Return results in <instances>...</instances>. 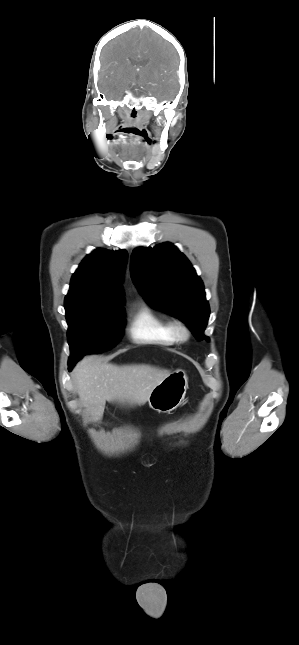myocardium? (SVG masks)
<instances>
[{"label":"myocardium","instance_id":"1","mask_svg":"<svg viewBox=\"0 0 299 645\" xmlns=\"http://www.w3.org/2000/svg\"><path fill=\"white\" fill-rule=\"evenodd\" d=\"M171 331L174 338L179 341H185L190 337V330L182 321L172 322Z\"/></svg>","mask_w":299,"mask_h":645}]
</instances>
